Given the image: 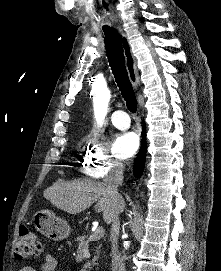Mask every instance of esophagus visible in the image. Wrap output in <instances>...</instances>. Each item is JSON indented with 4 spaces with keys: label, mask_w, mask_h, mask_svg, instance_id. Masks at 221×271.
<instances>
[{
    "label": "esophagus",
    "mask_w": 221,
    "mask_h": 271,
    "mask_svg": "<svg viewBox=\"0 0 221 271\" xmlns=\"http://www.w3.org/2000/svg\"><path fill=\"white\" fill-rule=\"evenodd\" d=\"M118 30L122 39V48H123L124 56L126 60V69L128 72V76L130 78L132 85L134 87H138L139 78H138V73H137V68H136V61L132 53L130 42L128 40L126 33L123 31V29L119 27Z\"/></svg>",
    "instance_id": "esophagus-1"
}]
</instances>
